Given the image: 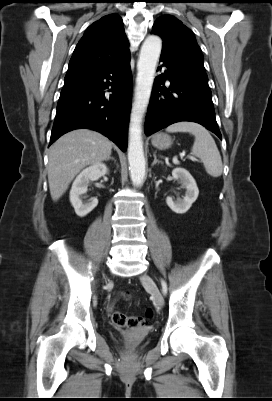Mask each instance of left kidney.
Returning <instances> with one entry per match:
<instances>
[{
    "instance_id": "5707ae66",
    "label": "left kidney",
    "mask_w": 272,
    "mask_h": 401,
    "mask_svg": "<svg viewBox=\"0 0 272 401\" xmlns=\"http://www.w3.org/2000/svg\"><path fill=\"white\" fill-rule=\"evenodd\" d=\"M172 176L174 179L179 180L182 183L186 189V194L183 199H177L176 201H174L172 197H167L166 203L173 212L177 214H184L196 201L199 195V190L194 178L186 169L175 168L172 171Z\"/></svg>"
}]
</instances>
